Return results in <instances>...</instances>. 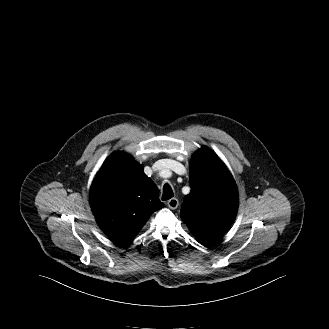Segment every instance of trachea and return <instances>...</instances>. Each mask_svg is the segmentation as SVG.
<instances>
[{"instance_id":"1","label":"trachea","mask_w":329,"mask_h":329,"mask_svg":"<svg viewBox=\"0 0 329 329\" xmlns=\"http://www.w3.org/2000/svg\"><path fill=\"white\" fill-rule=\"evenodd\" d=\"M174 196L172 188L169 184L163 186L162 200H169Z\"/></svg>"}]
</instances>
